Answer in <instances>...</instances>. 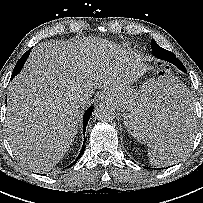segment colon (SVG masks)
<instances>
[{
	"instance_id": "obj_1",
	"label": "colon",
	"mask_w": 203,
	"mask_h": 203,
	"mask_svg": "<svg viewBox=\"0 0 203 203\" xmlns=\"http://www.w3.org/2000/svg\"><path fill=\"white\" fill-rule=\"evenodd\" d=\"M170 73V69L168 66L160 65L158 69V75L160 77H165Z\"/></svg>"
}]
</instances>
